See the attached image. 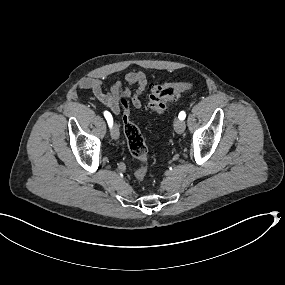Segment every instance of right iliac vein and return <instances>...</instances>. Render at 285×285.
I'll use <instances>...</instances> for the list:
<instances>
[{
    "mask_svg": "<svg viewBox=\"0 0 285 285\" xmlns=\"http://www.w3.org/2000/svg\"><path fill=\"white\" fill-rule=\"evenodd\" d=\"M111 136L115 140L119 138V128H118L117 124H114V126L111 130Z\"/></svg>",
    "mask_w": 285,
    "mask_h": 285,
    "instance_id": "63e3f726",
    "label": "right iliac vein"
}]
</instances>
